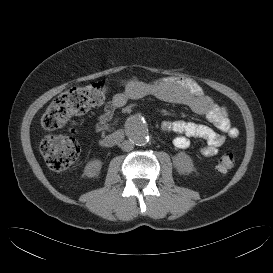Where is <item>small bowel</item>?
<instances>
[{
    "label": "small bowel",
    "mask_w": 273,
    "mask_h": 273,
    "mask_svg": "<svg viewBox=\"0 0 273 273\" xmlns=\"http://www.w3.org/2000/svg\"><path fill=\"white\" fill-rule=\"evenodd\" d=\"M121 85L123 90L113 96L104 112L98 117L96 128L99 131L107 129L116 108L125 106L131 100L150 96L185 105L195 113L205 116L220 131L217 132L204 124L184 120L161 122V131L176 134L173 144L178 149H187L190 146V138H201L206 144L200 148V154L204 157H212L219 152L226 135L232 139L238 137V131L232 126L224 108L214 103L190 78L166 76L152 81H142L131 77L122 80Z\"/></svg>",
    "instance_id": "c3829d8e"
}]
</instances>
